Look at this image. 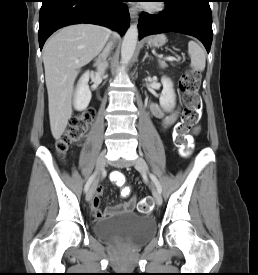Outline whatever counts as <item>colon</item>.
<instances>
[{
	"label": "colon",
	"mask_w": 258,
	"mask_h": 275,
	"mask_svg": "<svg viewBox=\"0 0 258 275\" xmlns=\"http://www.w3.org/2000/svg\"><path fill=\"white\" fill-rule=\"evenodd\" d=\"M199 85L200 76L195 70L185 72L179 81V88L183 94L185 108L182 113L181 122L176 127L175 139L184 156H188L192 149L189 132L198 124L201 117L202 100L198 92ZM93 117L94 112L86 110L70 119L68 127L57 142V151L60 156L65 155L73 145L78 144L82 140ZM111 180L116 186L122 189L123 195L130 193V188L125 186L126 177L122 172H113ZM152 208L153 202L150 197H145L138 205V209L142 213L150 212Z\"/></svg>",
	"instance_id": "colon-1"
}]
</instances>
